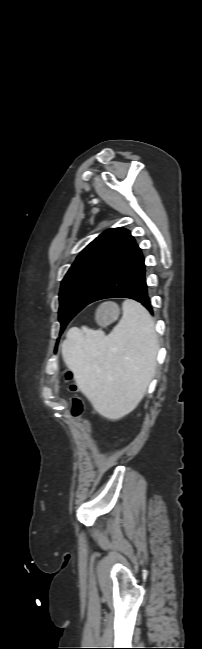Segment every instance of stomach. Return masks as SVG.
<instances>
[{
	"instance_id": "obj_1",
	"label": "stomach",
	"mask_w": 202,
	"mask_h": 649,
	"mask_svg": "<svg viewBox=\"0 0 202 649\" xmlns=\"http://www.w3.org/2000/svg\"><path fill=\"white\" fill-rule=\"evenodd\" d=\"M120 309L117 304L107 302L102 304L96 313V321L100 326H107L118 318Z\"/></svg>"
}]
</instances>
